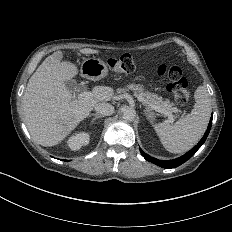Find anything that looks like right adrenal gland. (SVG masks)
<instances>
[{
  "mask_svg": "<svg viewBox=\"0 0 232 232\" xmlns=\"http://www.w3.org/2000/svg\"><path fill=\"white\" fill-rule=\"evenodd\" d=\"M91 116H94V118H93L92 121H91L92 124L94 123V121H95L96 119L104 117L103 115H100V114H98V113H96V114H90L89 117H91Z\"/></svg>",
  "mask_w": 232,
  "mask_h": 232,
  "instance_id": "right-adrenal-gland-1",
  "label": "right adrenal gland"
}]
</instances>
